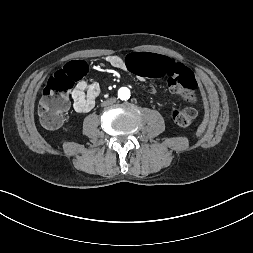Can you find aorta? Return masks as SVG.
Segmentation results:
<instances>
[{
    "label": "aorta",
    "instance_id": "aorta-1",
    "mask_svg": "<svg viewBox=\"0 0 253 253\" xmlns=\"http://www.w3.org/2000/svg\"><path fill=\"white\" fill-rule=\"evenodd\" d=\"M119 97L122 99V100H125V99H128L130 97V90L126 87H122L119 92Z\"/></svg>",
    "mask_w": 253,
    "mask_h": 253
}]
</instances>
